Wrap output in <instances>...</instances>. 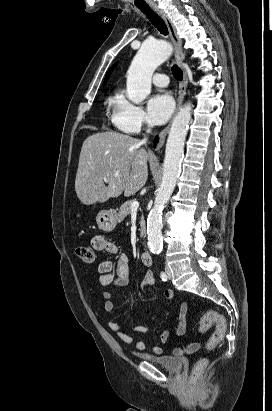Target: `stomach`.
<instances>
[{"label":"stomach","mask_w":272,"mask_h":411,"mask_svg":"<svg viewBox=\"0 0 272 411\" xmlns=\"http://www.w3.org/2000/svg\"><path fill=\"white\" fill-rule=\"evenodd\" d=\"M96 222L101 230L110 232L116 227L118 216L113 210H102L97 214Z\"/></svg>","instance_id":"0dacf381"}]
</instances>
